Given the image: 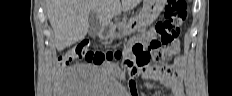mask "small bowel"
Instances as JSON below:
<instances>
[{
    "mask_svg": "<svg viewBox=\"0 0 232 96\" xmlns=\"http://www.w3.org/2000/svg\"><path fill=\"white\" fill-rule=\"evenodd\" d=\"M152 30H142L135 37H133L129 42V50L134 45H142L147 47L150 36L152 35ZM174 53L176 54V59L173 65L166 67L164 70H157L153 67L148 68L146 71L142 73L143 79H153L160 82L162 85L170 89L172 96H183V78L181 74V68L183 65L182 57L179 55L180 46L179 42H175ZM109 69H113V67H108ZM132 93L129 96H141L140 93H136V82L132 80L130 82Z\"/></svg>",
    "mask_w": 232,
    "mask_h": 96,
    "instance_id": "small-bowel-1",
    "label": "small bowel"
}]
</instances>
